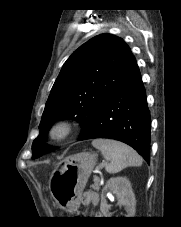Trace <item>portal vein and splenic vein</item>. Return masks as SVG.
<instances>
[{
    "mask_svg": "<svg viewBox=\"0 0 181 227\" xmlns=\"http://www.w3.org/2000/svg\"><path fill=\"white\" fill-rule=\"evenodd\" d=\"M104 165H105V164H102V166H104ZM98 180H99L98 177H95V178H94V181H95V182H97Z\"/></svg>",
    "mask_w": 181,
    "mask_h": 227,
    "instance_id": "1",
    "label": "portal vein and splenic vein"
}]
</instances>
